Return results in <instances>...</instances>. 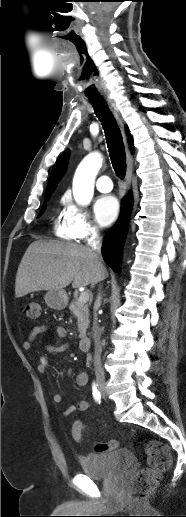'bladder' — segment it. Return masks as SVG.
<instances>
[{
    "label": "bladder",
    "mask_w": 186,
    "mask_h": 517,
    "mask_svg": "<svg viewBox=\"0 0 186 517\" xmlns=\"http://www.w3.org/2000/svg\"><path fill=\"white\" fill-rule=\"evenodd\" d=\"M133 455L127 448L108 453H89L82 456L79 464L82 471L92 479H112L125 472L132 464Z\"/></svg>",
    "instance_id": "bladder-1"
}]
</instances>
